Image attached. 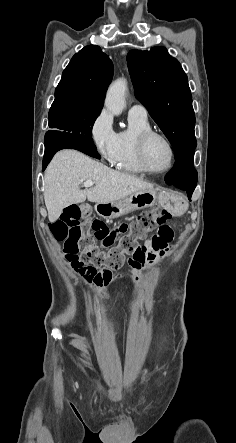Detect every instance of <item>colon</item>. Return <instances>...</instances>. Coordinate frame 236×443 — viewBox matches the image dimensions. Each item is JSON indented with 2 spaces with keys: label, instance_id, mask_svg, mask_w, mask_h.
Segmentation results:
<instances>
[{
  "label": "colon",
  "instance_id": "5ec220e1",
  "mask_svg": "<svg viewBox=\"0 0 236 443\" xmlns=\"http://www.w3.org/2000/svg\"><path fill=\"white\" fill-rule=\"evenodd\" d=\"M87 215L85 206L71 205L51 224L50 229L55 240L63 244L64 256L70 265L79 269L102 267L96 279L104 284L112 280V271L123 265L125 254L133 252L131 261L128 260L130 279L134 271L140 270L145 265L143 262L148 256V250L138 247L137 242L147 233L159 227L158 232L163 239L169 241L173 237V231L167 225L171 215L161 207L142 212L131 222L119 223L112 228L100 220L86 219L81 223V219ZM95 240L105 244H112L118 240V244L110 249L101 250L95 245ZM86 264L92 266H85Z\"/></svg>",
  "mask_w": 236,
  "mask_h": 443
}]
</instances>
